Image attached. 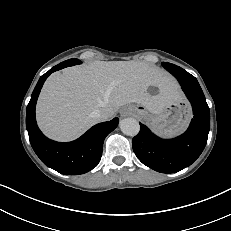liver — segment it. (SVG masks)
<instances>
[{
    "instance_id": "obj_1",
    "label": "liver",
    "mask_w": 231,
    "mask_h": 231,
    "mask_svg": "<svg viewBox=\"0 0 231 231\" xmlns=\"http://www.w3.org/2000/svg\"><path fill=\"white\" fill-rule=\"evenodd\" d=\"M149 87L158 94L148 93ZM175 79L165 70L140 61H95L53 73L40 93L36 117L49 138L71 141L99 121L96 110L115 114L126 104L137 103L160 114L181 98Z\"/></svg>"
}]
</instances>
